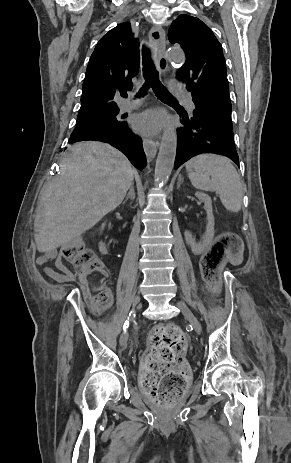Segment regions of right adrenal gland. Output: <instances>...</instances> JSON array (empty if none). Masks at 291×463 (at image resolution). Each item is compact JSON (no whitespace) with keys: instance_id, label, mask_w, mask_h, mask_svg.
I'll list each match as a JSON object with an SVG mask.
<instances>
[{"instance_id":"2a0ac1e0","label":"right adrenal gland","mask_w":291,"mask_h":463,"mask_svg":"<svg viewBox=\"0 0 291 463\" xmlns=\"http://www.w3.org/2000/svg\"><path fill=\"white\" fill-rule=\"evenodd\" d=\"M130 199L131 201H133L135 199V192H134V186L132 185L129 189V192L123 202V204L128 200Z\"/></svg>"}]
</instances>
